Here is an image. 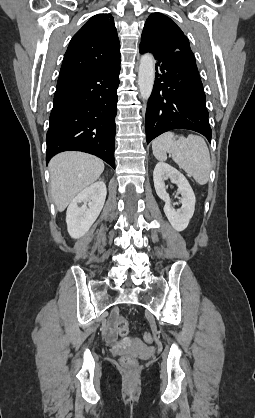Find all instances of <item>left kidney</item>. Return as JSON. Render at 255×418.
Masks as SVG:
<instances>
[{"label": "left kidney", "instance_id": "1", "mask_svg": "<svg viewBox=\"0 0 255 418\" xmlns=\"http://www.w3.org/2000/svg\"><path fill=\"white\" fill-rule=\"evenodd\" d=\"M170 179L178 187L181 194L182 207L174 209L171 205L169 194L166 191L165 180ZM154 187L157 195L165 202L164 213L170 224L176 231H183L187 228L195 210V195L186 179L177 169L167 163L159 162L153 172Z\"/></svg>", "mask_w": 255, "mask_h": 418}]
</instances>
